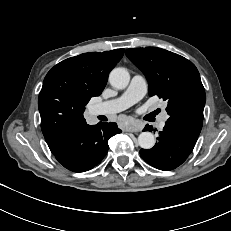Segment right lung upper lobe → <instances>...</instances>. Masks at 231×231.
I'll return each mask as SVG.
<instances>
[{"label": "right lung upper lobe", "instance_id": "obj_1", "mask_svg": "<svg viewBox=\"0 0 231 231\" xmlns=\"http://www.w3.org/2000/svg\"><path fill=\"white\" fill-rule=\"evenodd\" d=\"M124 49L90 52L55 65L46 75L38 98L41 128L50 149L68 133L86 125L84 107L103 91Z\"/></svg>", "mask_w": 231, "mask_h": 231}]
</instances>
